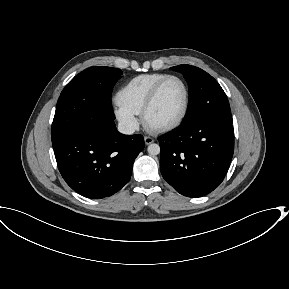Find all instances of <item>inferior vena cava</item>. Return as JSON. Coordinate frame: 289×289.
<instances>
[{"label": "inferior vena cava", "mask_w": 289, "mask_h": 289, "mask_svg": "<svg viewBox=\"0 0 289 289\" xmlns=\"http://www.w3.org/2000/svg\"><path fill=\"white\" fill-rule=\"evenodd\" d=\"M135 125L128 122H120L118 123V131L122 134L131 135L135 132Z\"/></svg>", "instance_id": "1"}]
</instances>
